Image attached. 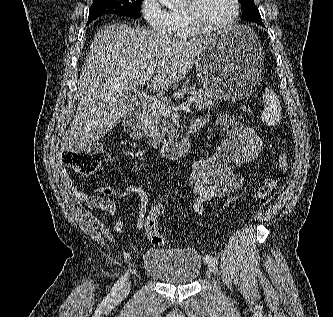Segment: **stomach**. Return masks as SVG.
<instances>
[{
  "instance_id": "obj_1",
  "label": "stomach",
  "mask_w": 333,
  "mask_h": 317,
  "mask_svg": "<svg viewBox=\"0 0 333 317\" xmlns=\"http://www.w3.org/2000/svg\"><path fill=\"white\" fill-rule=\"evenodd\" d=\"M195 66L205 91L218 99L233 102L259 95L262 48L256 33L244 25L212 35Z\"/></svg>"
}]
</instances>
